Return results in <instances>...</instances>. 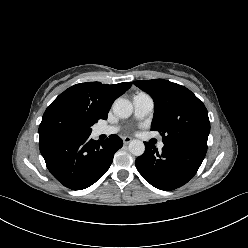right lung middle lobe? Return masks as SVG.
Segmentation results:
<instances>
[{
	"mask_svg": "<svg viewBox=\"0 0 248 248\" xmlns=\"http://www.w3.org/2000/svg\"><path fill=\"white\" fill-rule=\"evenodd\" d=\"M96 123L82 113L65 107L46 109L39 126V135H90L91 126Z\"/></svg>",
	"mask_w": 248,
	"mask_h": 248,
	"instance_id": "1",
	"label": "right lung middle lobe"
}]
</instances>
